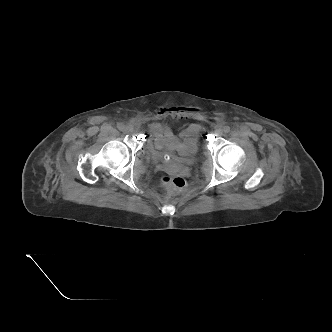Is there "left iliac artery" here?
<instances>
[{
  "label": "left iliac artery",
  "instance_id": "left-iliac-artery-1",
  "mask_svg": "<svg viewBox=\"0 0 332 332\" xmlns=\"http://www.w3.org/2000/svg\"><path fill=\"white\" fill-rule=\"evenodd\" d=\"M223 130H224L225 133H229L230 132V127L229 126H225L223 128Z\"/></svg>",
  "mask_w": 332,
  "mask_h": 332
}]
</instances>
